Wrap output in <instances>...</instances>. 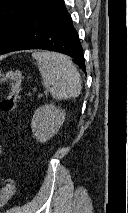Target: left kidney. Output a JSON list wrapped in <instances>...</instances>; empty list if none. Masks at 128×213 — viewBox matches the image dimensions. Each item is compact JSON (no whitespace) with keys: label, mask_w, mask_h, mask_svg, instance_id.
Instances as JSON below:
<instances>
[{"label":"left kidney","mask_w":128,"mask_h":213,"mask_svg":"<svg viewBox=\"0 0 128 213\" xmlns=\"http://www.w3.org/2000/svg\"><path fill=\"white\" fill-rule=\"evenodd\" d=\"M65 111L53 104H45L35 110L31 127L34 137L41 143L52 138L65 120Z\"/></svg>","instance_id":"5707ae66"}]
</instances>
